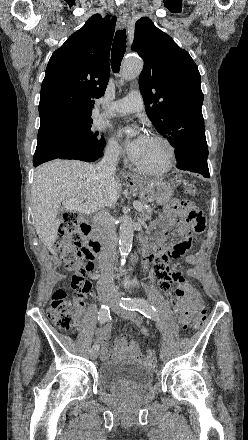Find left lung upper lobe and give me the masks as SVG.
Returning <instances> with one entry per match:
<instances>
[{"label": "left lung upper lobe", "mask_w": 248, "mask_h": 440, "mask_svg": "<svg viewBox=\"0 0 248 440\" xmlns=\"http://www.w3.org/2000/svg\"><path fill=\"white\" fill-rule=\"evenodd\" d=\"M132 50L144 60L139 77L146 112L177 160L208 156L200 73L187 51L147 17L135 24Z\"/></svg>", "instance_id": "left-lung-upper-lobe-1"}]
</instances>
